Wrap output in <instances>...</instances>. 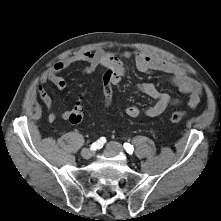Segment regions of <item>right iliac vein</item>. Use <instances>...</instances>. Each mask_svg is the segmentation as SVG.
Instances as JSON below:
<instances>
[{
    "label": "right iliac vein",
    "mask_w": 221,
    "mask_h": 221,
    "mask_svg": "<svg viewBox=\"0 0 221 221\" xmlns=\"http://www.w3.org/2000/svg\"><path fill=\"white\" fill-rule=\"evenodd\" d=\"M94 154V151L89 149V148H84L82 151H81V155L84 159H90Z\"/></svg>",
    "instance_id": "1"
}]
</instances>
